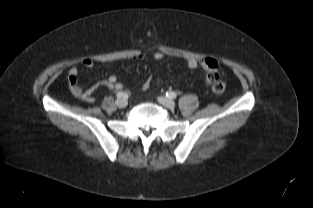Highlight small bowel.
I'll return each instance as SVG.
<instances>
[{"instance_id":"1","label":"small bowel","mask_w":313,"mask_h":208,"mask_svg":"<svg viewBox=\"0 0 313 208\" xmlns=\"http://www.w3.org/2000/svg\"><path fill=\"white\" fill-rule=\"evenodd\" d=\"M153 56L156 60H161L163 58L162 53L159 52L154 53ZM145 58H146L145 54H138L135 56V59L137 60H144ZM81 64L86 68H92L94 66V60L92 58L87 57L82 59ZM187 66L190 69H196L197 67H201L208 72L211 68H217L218 64L217 61L211 57H205L200 60L189 58L187 60ZM68 80L71 93L75 97L89 103L95 101L94 92L101 87L115 90L122 88L121 82L115 76H110L107 80H105L101 84H98L89 90H85L79 84V73L76 67H72L70 69Z\"/></svg>"}]
</instances>
